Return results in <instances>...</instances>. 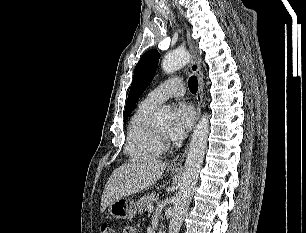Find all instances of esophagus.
<instances>
[{
	"label": "esophagus",
	"instance_id": "esophagus-1",
	"mask_svg": "<svg viewBox=\"0 0 306 233\" xmlns=\"http://www.w3.org/2000/svg\"><path fill=\"white\" fill-rule=\"evenodd\" d=\"M186 29H187L188 46H189V49H190V52H191L190 70H191L192 73H194L197 76V79H198V91L196 93V113H197L196 120H198L199 116H200V113H201V104H202V99H203L204 81H203V76H202V73H201V66H200L199 57H198L194 42L191 38L190 31H189L187 26H186ZM187 151H188V144L183 149V151L180 154H178L170 162L169 167L170 168H181Z\"/></svg>",
	"mask_w": 306,
	"mask_h": 233
}]
</instances>
